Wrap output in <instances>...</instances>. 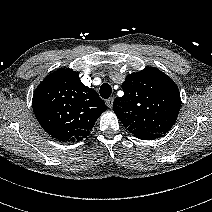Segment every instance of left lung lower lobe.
Listing matches in <instances>:
<instances>
[{
	"label": "left lung lower lobe",
	"instance_id": "0a47b994",
	"mask_svg": "<svg viewBox=\"0 0 212 212\" xmlns=\"http://www.w3.org/2000/svg\"><path fill=\"white\" fill-rule=\"evenodd\" d=\"M162 135L163 134L149 133V134H147L144 137H141L139 139H142V140H154V139L162 137Z\"/></svg>",
	"mask_w": 212,
	"mask_h": 212
}]
</instances>
